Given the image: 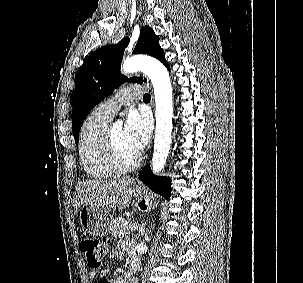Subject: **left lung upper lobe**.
<instances>
[{"label": "left lung upper lobe", "mask_w": 303, "mask_h": 283, "mask_svg": "<svg viewBox=\"0 0 303 283\" xmlns=\"http://www.w3.org/2000/svg\"><path fill=\"white\" fill-rule=\"evenodd\" d=\"M129 38L125 37L115 45L97 49L90 54L80 67L76 76L73 92L72 129L75 143L78 144L79 131L84 119L91 109L105 99L122 83H143L142 77L128 79L120 72L124 50ZM142 53L159 59L167 64L163 49L159 45V37L149 27H142L133 54Z\"/></svg>", "instance_id": "left-lung-upper-lobe-1"}]
</instances>
